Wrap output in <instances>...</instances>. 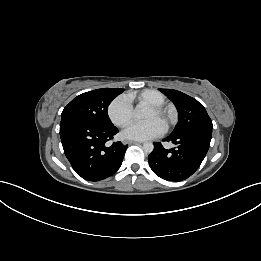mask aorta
Here are the masks:
<instances>
[{
	"label": "aorta",
	"mask_w": 261,
	"mask_h": 261,
	"mask_svg": "<svg viewBox=\"0 0 261 261\" xmlns=\"http://www.w3.org/2000/svg\"><path fill=\"white\" fill-rule=\"evenodd\" d=\"M143 116H144V111L142 109L138 108V109L135 110V117L136 118L140 119ZM142 148H143V151L145 153H151L154 149V145L151 142H146V143L143 144Z\"/></svg>",
	"instance_id": "aorta-1"
}]
</instances>
